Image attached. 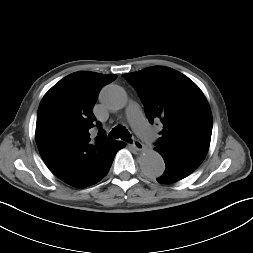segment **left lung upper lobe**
Instances as JSON below:
<instances>
[{
    "label": "left lung upper lobe",
    "instance_id": "left-lung-upper-lobe-1",
    "mask_svg": "<svg viewBox=\"0 0 253 253\" xmlns=\"http://www.w3.org/2000/svg\"><path fill=\"white\" fill-rule=\"evenodd\" d=\"M122 76L137 90L148 120L163 124L155 150L202 163L209 149L213 121L200 88L184 74L165 66Z\"/></svg>",
    "mask_w": 253,
    "mask_h": 253
}]
</instances>
